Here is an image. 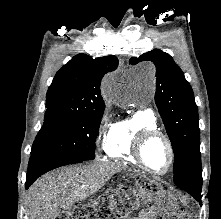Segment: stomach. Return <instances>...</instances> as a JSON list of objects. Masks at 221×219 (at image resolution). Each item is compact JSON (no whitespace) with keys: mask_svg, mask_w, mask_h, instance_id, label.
I'll return each mask as SVG.
<instances>
[{"mask_svg":"<svg viewBox=\"0 0 221 219\" xmlns=\"http://www.w3.org/2000/svg\"><path fill=\"white\" fill-rule=\"evenodd\" d=\"M140 183H150L152 185L149 186V190H146L147 204H162V199L172 198L170 190H164L155 178H140Z\"/></svg>","mask_w":221,"mask_h":219,"instance_id":"1","label":"stomach"}]
</instances>
